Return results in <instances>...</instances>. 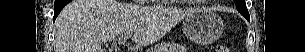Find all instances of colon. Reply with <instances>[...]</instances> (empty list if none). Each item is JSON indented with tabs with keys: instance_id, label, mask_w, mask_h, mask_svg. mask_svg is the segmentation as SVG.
I'll return each mask as SVG.
<instances>
[{
	"instance_id": "obj_1",
	"label": "colon",
	"mask_w": 305,
	"mask_h": 52,
	"mask_svg": "<svg viewBox=\"0 0 305 52\" xmlns=\"http://www.w3.org/2000/svg\"><path fill=\"white\" fill-rule=\"evenodd\" d=\"M216 52H229V49L224 45H218L216 48Z\"/></svg>"
}]
</instances>
